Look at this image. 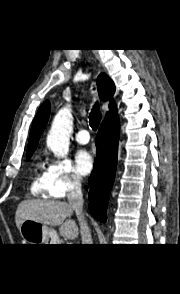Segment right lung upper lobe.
Here are the masks:
<instances>
[{
	"mask_svg": "<svg viewBox=\"0 0 180 294\" xmlns=\"http://www.w3.org/2000/svg\"><path fill=\"white\" fill-rule=\"evenodd\" d=\"M97 87L100 99L104 101L110 100L109 107L110 109L113 108L115 106L112 99L115 92L113 81L106 74L101 73L97 78ZM49 114L50 103L48 101H45L39 108L32 125L28 142L27 157H31L33 152L35 151L40 135L47 124Z\"/></svg>",
	"mask_w": 180,
	"mask_h": 294,
	"instance_id": "cb5924a9",
	"label": "right lung upper lobe"
}]
</instances>
